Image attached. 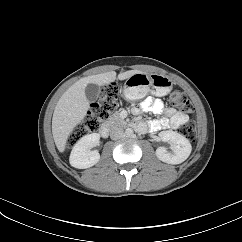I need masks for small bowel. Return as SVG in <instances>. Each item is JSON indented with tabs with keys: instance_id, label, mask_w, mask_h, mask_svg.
Wrapping results in <instances>:
<instances>
[{
	"instance_id": "obj_1",
	"label": "small bowel",
	"mask_w": 242,
	"mask_h": 242,
	"mask_svg": "<svg viewBox=\"0 0 242 242\" xmlns=\"http://www.w3.org/2000/svg\"><path fill=\"white\" fill-rule=\"evenodd\" d=\"M151 112L154 114H165V117L152 120L148 123L142 121H135V129L140 132L159 131L166 129H178L188 121V116L183 112L177 111L173 108L165 107L160 99H153L152 97L145 98L139 107L134 108V113Z\"/></svg>"
}]
</instances>
